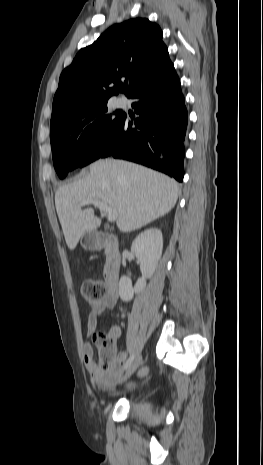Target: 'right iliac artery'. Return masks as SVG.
Returning a JSON list of instances; mask_svg holds the SVG:
<instances>
[{
	"mask_svg": "<svg viewBox=\"0 0 263 465\" xmlns=\"http://www.w3.org/2000/svg\"><path fill=\"white\" fill-rule=\"evenodd\" d=\"M133 360H134V355H131V356L128 358V360L126 361V363L124 364L123 370H126V369L131 365V363L133 362Z\"/></svg>",
	"mask_w": 263,
	"mask_h": 465,
	"instance_id": "82829eb1",
	"label": "right iliac artery"
}]
</instances>
